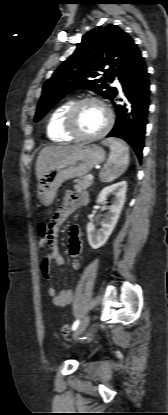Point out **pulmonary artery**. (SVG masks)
I'll use <instances>...</instances> for the list:
<instances>
[{"instance_id":"obj_1","label":"pulmonary artery","mask_w":168,"mask_h":415,"mask_svg":"<svg viewBox=\"0 0 168 415\" xmlns=\"http://www.w3.org/2000/svg\"><path fill=\"white\" fill-rule=\"evenodd\" d=\"M114 86H115L118 90H121V85H120V83H119V81H118V80H115V81H114Z\"/></svg>"}]
</instances>
